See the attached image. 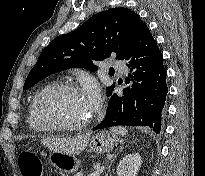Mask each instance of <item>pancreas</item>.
I'll list each match as a JSON object with an SVG mask.
<instances>
[{
	"mask_svg": "<svg viewBox=\"0 0 205 176\" xmlns=\"http://www.w3.org/2000/svg\"><path fill=\"white\" fill-rule=\"evenodd\" d=\"M75 176H82V174H77V175H75Z\"/></svg>",
	"mask_w": 205,
	"mask_h": 176,
	"instance_id": "1",
	"label": "pancreas"
}]
</instances>
